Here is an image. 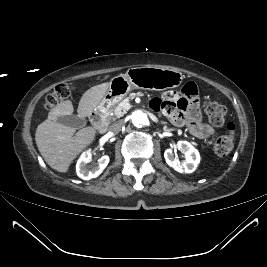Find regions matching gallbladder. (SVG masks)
<instances>
[{"instance_id": "1", "label": "gallbladder", "mask_w": 267, "mask_h": 267, "mask_svg": "<svg viewBox=\"0 0 267 267\" xmlns=\"http://www.w3.org/2000/svg\"><path fill=\"white\" fill-rule=\"evenodd\" d=\"M57 121L63 125L80 129L83 128L86 125V119L83 117H80L78 115H67V116H61L57 119Z\"/></svg>"}]
</instances>
